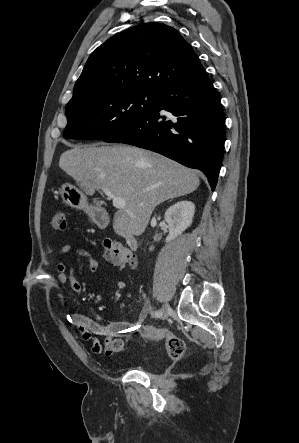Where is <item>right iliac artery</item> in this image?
Listing matches in <instances>:
<instances>
[{
    "instance_id": "right-iliac-artery-1",
    "label": "right iliac artery",
    "mask_w": 299,
    "mask_h": 443,
    "mask_svg": "<svg viewBox=\"0 0 299 443\" xmlns=\"http://www.w3.org/2000/svg\"><path fill=\"white\" fill-rule=\"evenodd\" d=\"M153 315H154L155 317H161L162 312H161L160 310H157V311H155V312L153 313Z\"/></svg>"
}]
</instances>
